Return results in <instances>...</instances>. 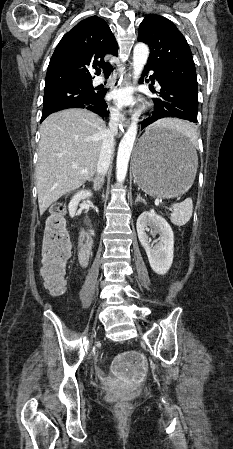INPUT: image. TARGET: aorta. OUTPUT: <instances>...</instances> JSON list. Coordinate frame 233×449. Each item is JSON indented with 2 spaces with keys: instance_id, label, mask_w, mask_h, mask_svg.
I'll return each instance as SVG.
<instances>
[{
  "instance_id": "1",
  "label": "aorta",
  "mask_w": 233,
  "mask_h": 449,
  "mask_svg": "<svg viewBox=\"0 0 233 449\" xmlns=\"http://www.w3.org/2000/svg\"><path fill=\"white\" fill-rule=\"evenodd\" d=\"M148 56L149 48L146 44L138 43L135 45L133 50V78L135 82L139 80ZM137 130V119H134L120 141L116 162V179L118 182H123L126 178L128 163L137 135Z\"/></svg>"
}]
</instances>
